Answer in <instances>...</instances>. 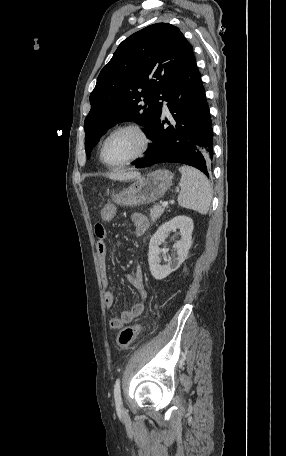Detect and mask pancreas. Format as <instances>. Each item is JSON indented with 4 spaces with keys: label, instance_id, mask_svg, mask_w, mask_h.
<instances>
[{
    "label": "pancreas",
    "instance_id": "cf45deb5",
    "mask_svg": "<svg viewBox=\"0 0 286 456\" xmlns=\"http://www.w3.org/2000/svg\"><path fill=\"white\" fill-rule=\"evenodd\" d=\"M165 208L160 205H154L150 209V219L152 222H155L163 213Z\"/></svg>",
    "mask_w": 286,
    "mask_h": 456
}]
</instances>
